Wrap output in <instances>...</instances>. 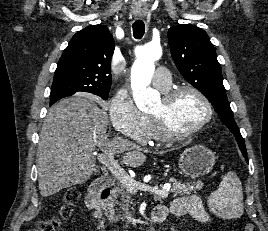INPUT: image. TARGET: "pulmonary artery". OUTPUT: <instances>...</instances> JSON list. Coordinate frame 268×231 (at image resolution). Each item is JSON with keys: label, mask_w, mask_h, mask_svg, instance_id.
<instances>
[{"label": "pulmonary artery", "mask_w": 268, "mask_h": 231, "mask_svg": "<svg viewBox=\"0 0 268 231\" xmlns=\"http://www.w3.org/2000/svg\"><path fill=\"white\" fill-rule=\"evenodd\" d=\"M153 84L160 89H166L171 85L169 70L164 66H159L152 78Z\"/></svg>", "instance_id": "1"}]
</instances>
